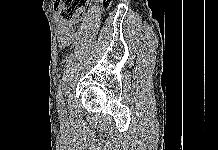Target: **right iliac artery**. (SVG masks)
I'll return each instance as SVG.
<instances>
[{
    "label": "right iliac artery",
    "instance_id": "right-iliac-artery-1",
    "mask_svg": "<svg viewBox=\"0 0 218 150\" xmlns=\"http://www.w3.org/2000/svg\"><path fill=\"white\" fill-rule=\"evenodd\" d=\"M57 104H58V111L60 113V116H64L65 109H64V103H63V97H62L61 89L58 90Z\"/></svg>",
    "mask_w": 218,
    "mask_h": 150
}]
</instances>
